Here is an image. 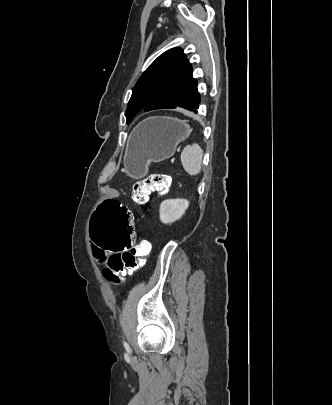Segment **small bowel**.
<instances>
[{
    "label": "small bowel",
    "instance_id": "obj_1",
    "mask_svg": "<svg viewBox=\"0 0 332 405\" xmlns=\"http://www.w3.org/2000/svg\"><path fill=\"white\" fill-rule=\"evenodd\" d=\"M133 227H135L134 220H133ZM105 259H112L113 257H104Z\"/></svg>",
    "mask_w": 332,
    "mask_h": 405
}]
</instances>
